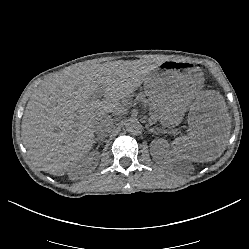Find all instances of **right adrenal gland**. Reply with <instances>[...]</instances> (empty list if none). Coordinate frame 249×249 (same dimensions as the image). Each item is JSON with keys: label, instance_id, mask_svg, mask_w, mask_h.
I'll list each match as a JSON object with an SVG mask.
<instances>
[{"label": "right adrenal gland", "instance_id": "2a0ac1e0", "mask_svg": "<svg viewBox=\"0 0 249 249\" xmlns=\"http://www.w3.org/2000/svg\"><path fill=\"white\" fill-rule=\"evenodd\" d=\"M105 134L103 133H100L98 134L95 138H94V144H93V147L96 145V143L101 140L103 137H104Z\"/></svg>", "mask_w": 249, "mask_h": 249}]
</instances>
